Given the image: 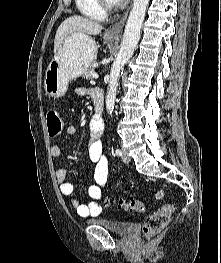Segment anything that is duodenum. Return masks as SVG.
<instances>
[{"mask_svg": "<svg viewBox=\"0 0 221 263\" xmlns=\"http://www.w3.org/2000/svg\"><path fill=\"white\" fill-rule=\"evenodd\" d=\"M94 103L93 123L96 128H103L102 111L104 106V95L102 92H95L92 96Z\"/></svg>", "mask_w": 221, "mask_h": 263, "instance_id": "410a0bca", "label": "duodenum"}]
</instances>
